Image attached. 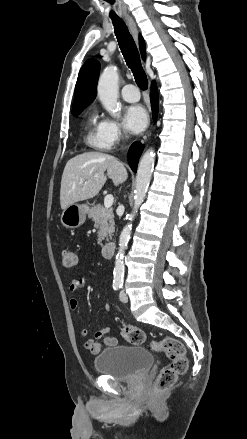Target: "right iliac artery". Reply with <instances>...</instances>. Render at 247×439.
Returning a JSON list of instances; mask_svg holds the SVG:
<instances>
[{
  "label": "right iliac artery",
  "mask_w": 247,
  "mask_h": 439,
  "mask_svg": "<svg viewBox=\"0 0 247 439\" xmlns=\"http://www.w3.org/2000/svg\"><path fill=\"white\" fill-rule=\"evenodd\" d=\"M122 287V284H114L113 285V289L115 290V291H117V290H119L120 288Z\"/></svg>",
  "instance_id": "obj_1"
}]
</instances>
